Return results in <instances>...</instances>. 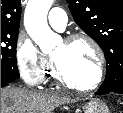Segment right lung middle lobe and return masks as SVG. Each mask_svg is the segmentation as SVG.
<instances>
[{"label":"right lung middle lobe","mask_w":123,"mask_h":113,"mask_svg":"<svg viewBox=\"0 0 123 113\" xmlns=\"http://www.w3.org/2000/svg\"><path fill=\"white\" fill-rule=\"evenodd\" d=\"M19 30L1 31V81L13 82L19 78L16 45Z\"/></svg>","instance_id":"dd1d6c3e"}]
</instances>
